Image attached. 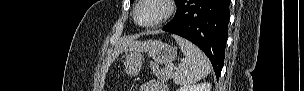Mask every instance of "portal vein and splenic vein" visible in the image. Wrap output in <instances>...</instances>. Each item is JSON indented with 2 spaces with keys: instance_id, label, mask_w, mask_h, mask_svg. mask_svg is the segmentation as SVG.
<instances>
[{
  "instance_id": "portal-vein-and-splenic-vein-1",
  "label": "portal vein and splenic vein",
  "mask_w": 304,
  "mask_h": 91,
  "mask_svg": "<svg viewBox=\"0 0 304 91\" xmlns=\"http://www.w3.org/2000/svg\"><path fill=\"white\" fill-rule=\"evenodd\" d=\"M168 67H169L170 69H173V65H169Z\"/></svg>"
}]
</instances>
